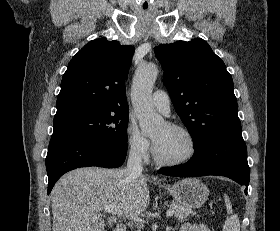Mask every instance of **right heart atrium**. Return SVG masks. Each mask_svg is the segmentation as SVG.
<instances>
[{"instance_id":"1","label":"right heart atrium","mask_w":280,"mask_h":231,"mask_svg":"<svg viewBox=\"0 0 280 231\" xmlns=\"http://www.w3.org/2000/svg\"><path fill=\"white\" fill-rule=\"evenodd\" d=\"M125 141L127 150L139 157L146 158L151 152V145L139 131L137 124L129 120L125 129Z\"/></svg>"}]
</instances>
